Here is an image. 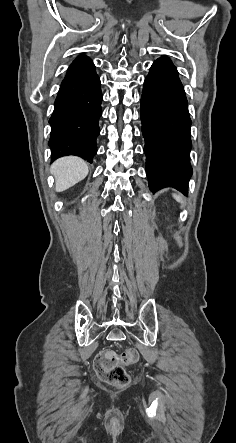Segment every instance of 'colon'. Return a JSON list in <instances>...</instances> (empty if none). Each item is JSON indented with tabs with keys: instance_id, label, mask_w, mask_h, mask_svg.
Segmentation results:
<instances>
[{
	"instance_id": "obj_1",
	"label": "colon",
	"mask_w": 236,
	"mask_h": 443,
	"mask_svg": "<svg viewBox=\"0 0 236 443\" xmlns=\"http://www.w3.org/2000/svg\"><path fill=\"white\" fill-rule=\"evenodd\" d=\"M138 360V352L135 349H127L121 355L112 351L99 354L94 362V369L98 377L111 385L124 387L129 384L130 377L125 365L133 364Z\"/></svg>"
}]
</instances>
